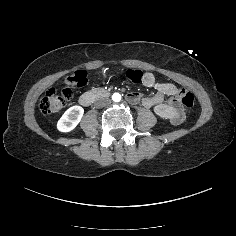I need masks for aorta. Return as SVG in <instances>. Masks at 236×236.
<instances>
[{"mask_svg":"<svg viewBox=\"0 0 236 236\" xmlns=\"http://www.w3.org/2000/svg\"><path fill=\"white\" fill-rule=\"evenodd\" d=\"M112 100H113L114 102H120V101H121V95H120L119 93H114V94L112 95Z\"/></svg>","mask_w":236,"mask_h":236,"instance_id":"762f6f07","label":"aorta"}]
</instances>
